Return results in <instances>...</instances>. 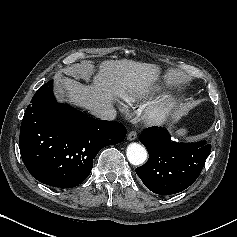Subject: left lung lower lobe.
Listing matches in <instances>:
<instances>
[{"mask_svg": "<svg viewBox=\"0 0 237 237\" xmlns=\"http://www.w3.org/2000/svg\"><path fill=\"white\" fill-rule=\"evenodd\" d=\"M149 153L148 161L136 168L144 185L159 195H171L188 188L200 175L211 144L176 143L165 128L145 129L139 136Z\"/></svg>", "mask_w": 237, "mask_h": 237, "instance_id": "obj_1", "label": "left lung lower lobe"}]
</instances>
